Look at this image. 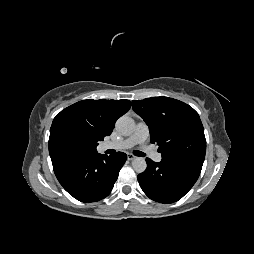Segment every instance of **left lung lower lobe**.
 <instances>
[{
	"mask_svg": "<svg viewBox=\"0 0 254 254\" xmlns=\"http://www.w3.org/2000/svg\"><path fill=\"white\" fill-rule=\"evenodd\" d=\"M147 169L138 175L141 189L152 200L160 203H173L181 199L197 181L200 167L154 162L147 158Z\"/></svg>",
	"mask_w": 254,
	"mask_h": 254,
	"instance_id": "0a47b994",
	"label": "left lung lower lobe"
}]
</instances>
